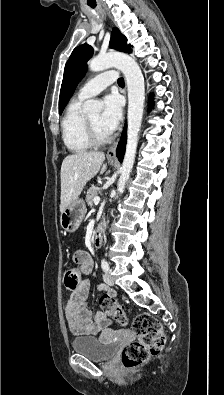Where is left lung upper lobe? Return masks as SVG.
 Masks as SVG:
<instances>
[{"label": "left lung upper lobe", "mask_w": 224, "mask_h": 395, "mask_svg": "<svg viewBox=\"0 0 224 395\" xmlns=\"http://www.w3.org/2000/svg\"><path fill=\"white\" fill-rule=\"evenodd\" d=\"M110 47L119 51L131 53V45H127V39L119 29L114 28L111 34ZM93 54V48L88 44L76 47L66 63L62 81L59 113L61 114L67 102L71 98L77 84L87 70V61Z\"/></svg>", "instance_id": "left-lung-upper-lobe-1"}]
</instances>
